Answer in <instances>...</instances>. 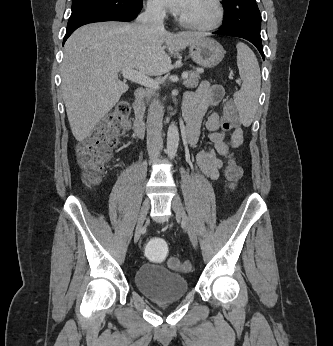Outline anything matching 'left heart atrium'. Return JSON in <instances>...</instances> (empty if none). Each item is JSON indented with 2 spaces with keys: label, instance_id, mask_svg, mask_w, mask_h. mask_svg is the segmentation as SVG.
Wrapping results in <instances>:
<instances>
[{
  "label": "left heart atrium",
  "instance_id": "1",
  "mask_svg": "<svg viewBox=\"0 0 333 346\" xmlns=\"http://www.w3.org/2000/svg\"><path fill=\"white\" fill-rule=\"evenodd\" d=\"M162 4L174 13L182 14L190 0H161Z\"/></svg>",
  "mask_w": 333,
  "mask_h": 346
}]
</instances>
